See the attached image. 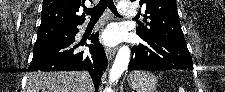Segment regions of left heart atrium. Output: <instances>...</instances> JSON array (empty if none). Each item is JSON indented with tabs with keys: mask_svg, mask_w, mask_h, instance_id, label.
<instances>
[{
	"mask_svg": "<svg viewBox=\"0 0 225 92\" xmlns=\"http://www.w3.org/2000/svg\"><path fill=\"white\" fill-rule=\"evenodd\" d=\"M120 34L116 25H110L102 32L101 40L106 45H115L120 40Z\"/></svg>",
	"mask_w": 225,
	"mask_h": 92,
	"instance_id": "39dd6f15",
	"label": "left heart atrium"
}]
</instances>
